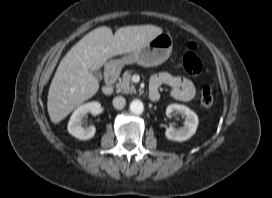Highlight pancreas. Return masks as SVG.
I'll use <instances>...</instances> for the list:
<instances>
[{
    "instance_id": "cf45deb5",
    "label": "pancreas",
    "mask_w": 272,
    "mask_h": 198,
    "mask_svg": "<svg viewBox=\"0 0 272 198\" xmlns=\"http://www.w3.org/2000/svg\"><path fill=\"white\" fill-rule=\"evenodd\" d=\"M131 78H132V72L131 71H125L123 73L122 78L116 84V91L118 93H123V94L135 93L136 89H135V86L133 85V83L131 81Z\"/></svg>"
}]
</instances>
